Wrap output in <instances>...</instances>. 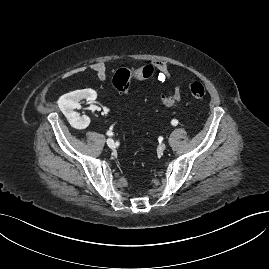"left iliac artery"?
Returning a JSON list of instances; mask_svg holds the SVG:
<instances>
[{
    "label": "left iliac artery",
    "instance_id": "left-iliac-artery-1",
    "mask_svg": "<svg viewBox=\"0 0 269 269\" xmlns=\"http://www.w3.org/2000/svg\"><path fill=\"white\" fill-rule=\"evenodd\" d=\"M171 124L174 125V126H176V125L178 124V120L173 119V120L171 121Z\"/></svg>",
    "mask_w": 269,
    "mask_h": 269
}]
</instances>
